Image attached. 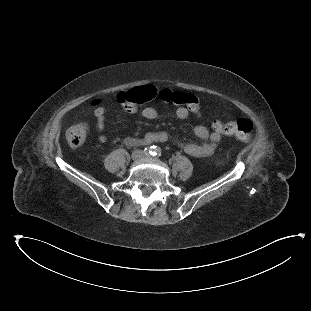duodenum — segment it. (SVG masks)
I'll return each mask as SVG.
<instances>
[{
	"label": "duodenum",
	"instance_id": "obj_1",
	"mask_svg": "<svg viewBox=\"0 0 311 311\" xmlns=\"http://www.w3.org/2000/svg\"><path fill=\"white\" fill-rule=\"evenodd\" d=\"M130 141L135 145H140V146L149 145L147 140L141 139V138H134V139H131Z\"/></svg>",
	"mask_w": 311,
	"mask_h": 311
}]
</instances>
